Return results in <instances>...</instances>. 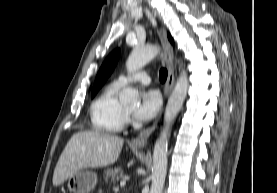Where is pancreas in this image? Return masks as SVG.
<instances>
[{
	"label": "pancreas",
	"mask_w": 277,
	"mask_h": 193,
	"mask_svg": "<svg viewBox=\"0 0 277 193\" xmlns=\"http://www.w3.org/2000/svg\"><path fill=\"white\" fill-rule=\"evenodd\" d=\"M104 177L106 179H111V181L115 182V180H119L123 177V170L119 167L108 168L104 171Z\"/></svg>",
	"instance_id": "cf45deb5"
}]
</instances>
